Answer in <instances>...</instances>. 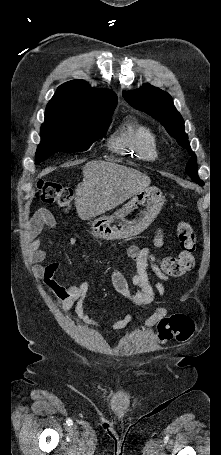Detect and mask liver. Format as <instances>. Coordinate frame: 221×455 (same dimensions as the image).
Returning a JSON list of instances; mask_svg holds the SVG:
<instances>
[{
  "label": "liver",
  "instance_id": "6515ba94",
  "mask_svg": "<svg viewBox=\"0 0 221 455\" xmlns=\"http://www.w3.org/2000/svg\"><path fill=\"white\" fill-rule=\"evenodd\" d=\"M150 183V178L136 169L115 162H88L83 166V181L75 190L78 216L89 220L112 210Z\"/></svg>",
  "mask_w": 221,
  "mask_h": 455
}]
</instances>
